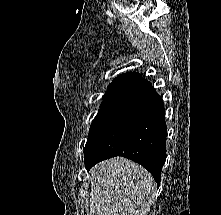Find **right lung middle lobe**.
<instances>
[{
	"mask_svg": "<svg viewBox=\"0 0 221 215\" xmlns=\"http://www.w3.org/2000/svg\"><path fill=\"white\" fill-rule=\"evenodd\" d=\"M131 101L113 100L104 101L89 129L88 139L84 148V157L89 156L116 120L129 106Z\"/></svg>",
	"mask_w": 221,
	"mask_h": 215,
	"instance_id": "obj_1",
	"label": "right lung middle lobe"
}]
</instances>
